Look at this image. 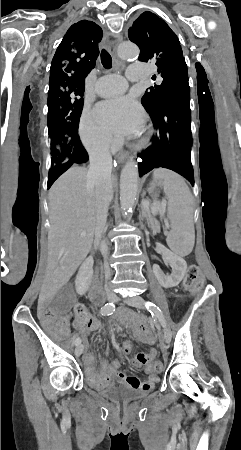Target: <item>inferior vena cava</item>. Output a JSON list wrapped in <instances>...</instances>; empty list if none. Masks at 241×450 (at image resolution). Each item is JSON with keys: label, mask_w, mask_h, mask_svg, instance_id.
Returning a JSON list of instances; mask_svg holds the SVG:
<instances>
[{"label": "inferior vena cava", "mask_w": 241, "mask_h": 450, "mask_svg": "<svg viewBox=\"0 0 241 450\" xmlns=\"http://www.w3.org/2000/svg\"><path fill=\"white\" fill-rule=\"evenodd\" d=\"M90 168L87 172V188L96 190V226L95 238L99 242L100 252L104 258L105 288L107 290L111 270L107 262L108 246L103 238L104 228L107 222L108 206L113 198L111 184V172L113 168L111 154L108 146L102 152L89 156Z\"/></svg>", "instance_id": "1"}]
</instances>
